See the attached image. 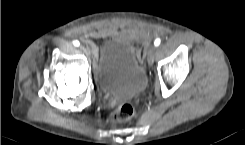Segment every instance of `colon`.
<instances>
[{"mask_svg":"<svg viewBox=\"0 0 245 145\" xmlns=\"http://www.w3.org/2000/svg\"><path fill=\"white\" fill-rule=\"evenodd\" d=\"M134 115V107L129 104L125 103L119 106L111 116V122L113 124L122 123L125 121L130 120Z\"/></svg>","mask_w":245,"mask_h":145,"instance_id":"1","label":"colon"}]
</instances>
